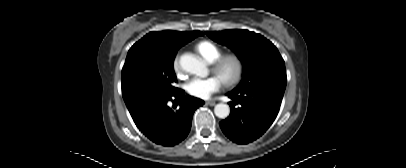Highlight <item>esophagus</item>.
<instances>
[{"instance_id":"1","label":"esophagus","mask_w":406,"mask_h":168,"mask_svg":"<svg viewBox=\"0 0 406 168\" xmlns=\"http://www.w3.org/2000/svg\"><path fill=\"white\" fill-rule=\"evenodd\" d=\"M205 104H206V105H209V106H214V105H216V103H215L214 101H206Z\"/></svg>"}]
</instances>
